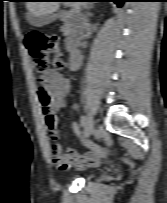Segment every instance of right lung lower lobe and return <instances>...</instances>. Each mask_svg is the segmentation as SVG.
I'll return each instance as SVG.
<instances>
[{
  "instance_id": "obj_1",
  "label": "right lung lower lobe",
  "mask_w": 167,
  "mask_h": 203,
  "mask_svg": "<svg viewBox=\"0 0 167 203\" xmlns=\"http://www.w3.org/2000/svg\"><path fill=\"white\" fill-rule=\"evenodd\" d=\"M79 1H104V2L111 1L116 3L119 7H121L124 2L131 1V0H79Z\"/></svg>"
}]
</instances>
